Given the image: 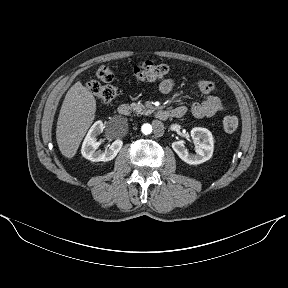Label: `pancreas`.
<instances>
[{"instance_id": "obj_1", "label": "pancreas", "mask_w": 288, "mask_h": 288, "mask_svg": "<svg viewBox=\"0 0 288 288\" xmlns=\"http://www.w3.org/2000/svg\"><path fill=\"white\" fill-rule=\"evenodd\" d=\"M131 106L136 114L148 115L153 112L152 109L147 108L140 101L137 103H132Z\"/></svg>"}]
</instances>
